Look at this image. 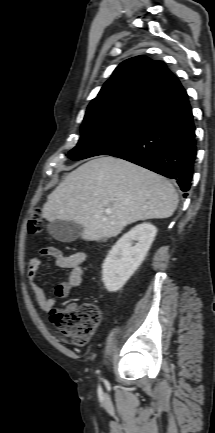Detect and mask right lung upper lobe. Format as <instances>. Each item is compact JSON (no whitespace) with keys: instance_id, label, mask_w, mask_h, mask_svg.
I'll return each instance as SVG.
<instances>
[{"instance_id":"1","label":"right lung upper lobe","mask_w":215,"mask_h":433,"mask_svg":"<svg viewBox=\"0 0 215 433\" xmlns=\"http://www.w3.org/2000/svg\"><path fill=\"white\" fill-rule=\"evenodd\" d=\"M184 91L161 61L137 56L122 62L89 104L83 122L146 116Z\"/></svg>"}]
</instances>
